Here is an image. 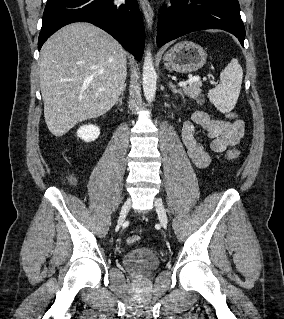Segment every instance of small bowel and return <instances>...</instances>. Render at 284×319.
<instances>
[{"mask_svg": "<svg viewBox=\"0 0 284 319\" xmlns=\"http://www.w3.org/2000/svg\"><path fill=\"white\" fill-rule=\"evenodd\" d=\"M197 129L203 130L211 140L213 152L223 153L242 140L245 125L240 119L231 122L213 119L204 111H195L191 119L183 123L181 136L186 152L195 166L205 168L210 164L211 156L197 137Z\"/></svg>", "mask_w": 284, "mask_h": 319, "instance_id": "1", "label": "small bowel"}]
</instances>
